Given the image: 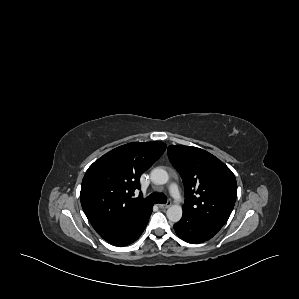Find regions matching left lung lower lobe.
<instances>
[{
    "label": "left lung lower lobe",
    "instance_id": "obj_1",
    "mask_svg": "<svg viewBox=\"0 0 299 299\" xmlns=\"http://www.w3.org/2000/svg\"><path fill=\"white\" fill-rule=\"evenodd\" d=\"M174 229L180 238L191 244L207 241L218 232L208 224L184 213L181 220L174 225Z\"/></svg>",
    "mask_w": 299,
    "mask_h": 299
}]
</instances>
